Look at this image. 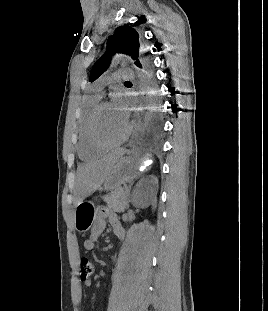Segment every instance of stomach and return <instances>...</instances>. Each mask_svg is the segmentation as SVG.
<instances>
[{"label": "stomach", "mask_w": 268, "mask_h": 311, "mask_svg": "<svg viewBox=\"0 0 268 311\" xmlns=\"http://www.w3.org/2000/svg\"><path fill=\"white\" fill-rule=\"evenodd\" d=\"M145 158H140L136 150L127 151L114 164L109 176L103 183L102 190L114 191L121 185L135 179L140 174V167ZM95 219L94 204L90 201L80 202L74 212V227L78 232L88 231Z\"/></svg>", "instance_id": "stomach-1"}]
</instances>
